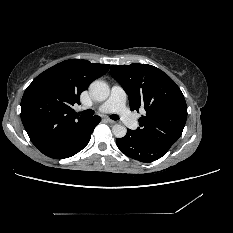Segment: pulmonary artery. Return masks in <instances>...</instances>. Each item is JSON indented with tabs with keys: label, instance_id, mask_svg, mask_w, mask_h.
Listing matches in <instances>:
<instances>
[{
	"label": "pulmonary artery",
	"instance_id": "e3ab8cb5",
	"mask_svg": "<svg viewBox=\"0 0 233 233\" xmlns=\"http://www.w3.org/2000/svg\"><path fill=\"white\" fill-rule=\"evenodd\" d=\"M101 112H116L123 122L131 128L138 126L136 117L126 108V94L120 86H113L110 97L100 107Z\"/></svg>",
	"mask_w": 233,
	"mask_h": 233
}]
</instances>
